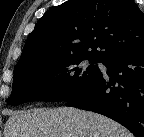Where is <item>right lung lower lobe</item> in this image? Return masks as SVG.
Here are the masks:
<instances>
[{
	"label": "right lung lower lobe",
	"instance_id": "98d812e1",
	"mask_svg": "<svg viewBox=\"0 0 144 137\" xmlns=\"http://www.w3.org/2000/svg\"><path fill=\"white\" fill-rule=\"evenodd\" d=\"M103 64L108 71L66 105L105 115L144 137V45Z\"/></svg>",
	"mask_w": 144,
	"mask_h": 137
}]
</instances>
